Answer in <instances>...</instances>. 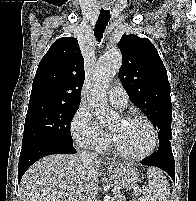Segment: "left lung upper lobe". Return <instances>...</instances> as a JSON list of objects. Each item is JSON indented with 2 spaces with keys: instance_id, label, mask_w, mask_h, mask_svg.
Returning a JSON list of instances; mask_svg holds the SVG:
<instances>
[{
  "instance_id": "left-lung-upper-lobe-1",
  "label": "left lung upper lobe",
  "mask_w": 196,
  "mask_h": 201,
  "mask_svg": "<svg viewBox=\"0 0 196 201\" xmlns=\"http://www.w3.org/2000/svg\"><path fill=\"white\" fill-rule=\"evenodd\" d=\"M123 62L119 78L130 100L158 130L159 143L172 138V107L166 68L151 41L124 34L118 43Z\"/></svg>"
}]
</instances>
